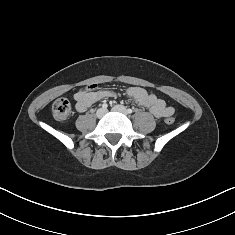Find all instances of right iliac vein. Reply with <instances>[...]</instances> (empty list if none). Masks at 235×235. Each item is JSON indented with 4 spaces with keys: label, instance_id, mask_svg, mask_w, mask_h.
I'll use <instances>...</instances> for the list:
<instances>
[{
    "label": "right iliac vein",
    "instance_id": "1",
    "mask_svg": "<svg viewBox=\"0 0 235 235\" xmlns=\"http://www.w3.org/2000/svg\"><path fill=\"white\" fill-rule=\"evenodd\" d=\"M105 114H106V109H103V108L98 109L97 112H96V116L98 118L103 117Z\"/></svg>",
    "mask_w": 235,
    "mask_h": 235
}]
</instances>
